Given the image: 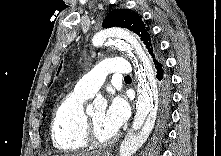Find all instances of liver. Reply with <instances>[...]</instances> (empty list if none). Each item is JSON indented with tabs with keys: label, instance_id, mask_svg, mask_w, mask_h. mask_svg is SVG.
I'll use <instances>...</instances> for the list:
<instances>
[{
	"label": "liver",
	"instance_id": "1",
	"mask_svg": "<svg viewBox=\"0 0 221 156\" xmlns=\"http://www.w3.org/2000/svg\"><path fill=\"white\" fill-rule=\"evenodd\" d=\"M64 156H99V152L79 153V154L64 155Z\"/></svg>",
	"mask_w": 221,
	"mask_h": 156
}]
</instances>
